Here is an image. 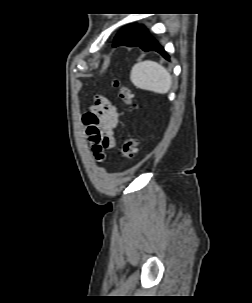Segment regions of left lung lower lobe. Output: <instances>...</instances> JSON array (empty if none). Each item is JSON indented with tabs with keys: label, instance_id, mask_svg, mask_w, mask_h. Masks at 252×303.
I'll return each mask as SVG.
<instances>
[{
	"label": "left lung lower lobe",
	"instance_id": "1",
	"mask_svg": "<svg viewBox=\"0 0 252 303\" xmlns=\"http://www.w3.org/2000/svg\"><path fill=\"white\" fill-rule=\"evenodd\" d=\"M117 46H138L144 51H156L160 53L165 59L169 60L168 54L142 25L136 26L128 35H126L121 41L114 45V47Z\"/></svg>",
	"mask_w": 252,
	"mask_h": 303
}]
</instances>
